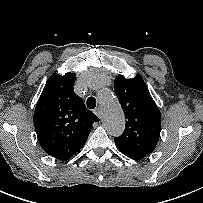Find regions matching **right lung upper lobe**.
Instances as JSON below:
<instances>
[{
  "label": "right lung upper lobe",
  "mask_w": 203,
  "mask_h": 203,
  "mask_svg": "<svg viewBox=\"0 0 203 203\" xmlns=\"http://www.w3.org/2000/svg\"><path fill=\"white\" fill-rule=\"evenodd\" d=\"M74 73H53L46 82L34 111V126L43 150L67 160L79 151L99 118L86 109L74 92Z\"/></svg>",
  "instance_id": "right-lung-upper-lobe-1"
}]
</instances>
